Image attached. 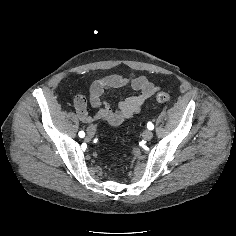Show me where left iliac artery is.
I'll list each match as a JSON object with an SVG mask.
<instances>
[{"label":"left iliac artery","mask_w":236,"mask_h":236,"mask_svg":"<svg viewBox=\"0 0 236 236\" xmlns=\"http://www.w3.org/2000/svg\"><path fill=\"white\" fill-rule=\"evenodd\" d=\"M147 128H148L149 130H153V129H154V125H153L151 122H148Z\"/></svg>","instance_id":"1"}]
</instances>
